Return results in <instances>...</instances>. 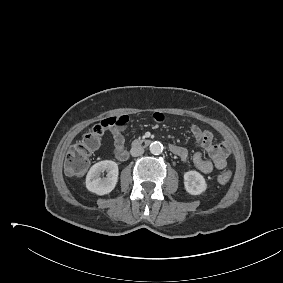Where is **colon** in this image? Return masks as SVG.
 Wrapping results in <instances>:
<instances>
[{
    "mask_svg": "<svg viewBox=\"0 0 283 283\" xmlns=\"http://www.w3.org/2000/svg\"><path fill=\"white\" fill-rule=\"evenodd\" d=\"M104 132V126L98 124L71 147L66 158V168L70 174L81 175L86 172L91 155L99 148ZM231 176V171L225 169L218 173L217 180L221 184H225L230 181Z\"/></svg>",
    "mask_w": 283,
    "mask_h": 283,
    "instance_id": "colon-1",
    "label": "colon"
}]
</instances>
